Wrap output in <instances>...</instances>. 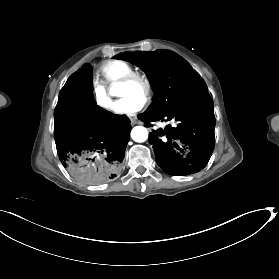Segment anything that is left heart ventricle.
Wrapping results in <instances>:
<instances>
[{"label": "left heart ventricle", "mask_w": 279, "mask_h": 279, "mask_svg": "<svg viewBox=\"0 0 279 279\" xmlns=\"http://www.w3.org/2000/svg\"><path fill=\"white\" fill-rule=\"evenodd\" d=\"M117 96L121 99L124 97L140 98L143 97L142 89L138 86L121 85L117 87Z\"/></svg>", "instance_id": "1"}]
</instances>
